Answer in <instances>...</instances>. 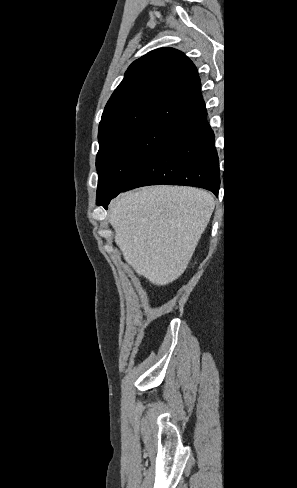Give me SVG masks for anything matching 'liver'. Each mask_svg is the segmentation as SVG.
I'll return each instance as SVG.
<instances>
[{"label": "liver", "instance_id": "6515ba94", "mask_svg": "<svg viewBox=\"0 0 297 488\" xmlns=\"http://www.w3.org/2000/svg\"><path fill=\"white\" fill-rule=\"evenodd\" d=\"M214 206L209 192L193 187L122 193L110 207L115 243L139 276L158 286L169 284L186 270Z\"/></svg>", "mask_w": 297, "mask_h": 488}]
</instances>
